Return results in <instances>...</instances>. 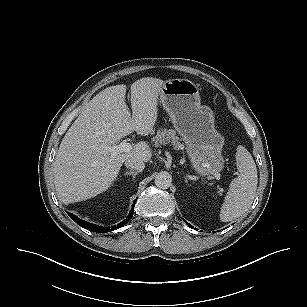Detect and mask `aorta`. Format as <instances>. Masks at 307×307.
I'll return each mask as SVG.
<instances>
[{
	"label": "aorta",
	"mask_w": 307,
	"mask_h": 307,
	"mask_svg": "<svg viewBox=\"0 0 307 307\" xmlns=\"http://www.w3.org/2000/svg\"><path fill=\"white\" fill-rule=\"evenodd\" d=\"M172 183V176L167 171L159 172L155 177V185L162 189H167Z\"/></svg>",
	"instance_id": "aorta-1"
}]
</instances>
